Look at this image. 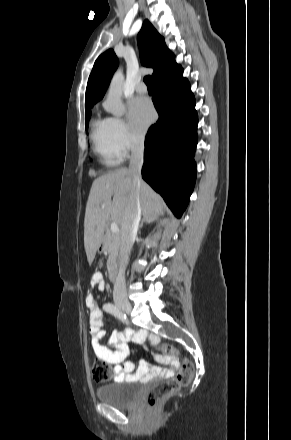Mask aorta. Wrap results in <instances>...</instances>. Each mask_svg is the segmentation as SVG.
<instances>
[{
    "instance_id": "762f6f07",
    "label": "aorta",
    "mask_w": 291,
    "mask_h": 440,
    "mask_svg": "<svg viewBox=\"0 0 291 440\" xmlns=\"http://www.w3.org/2000/svg\"><path fill=\"white\" fill-rule=\"evenodd\" d=\"M123 73L119 69L110 84L106 102L104 104L105 110L114 116L120 117L125 113V107L122 102V84H123Z\"/></svg>"
}]
</instances>
